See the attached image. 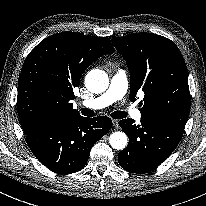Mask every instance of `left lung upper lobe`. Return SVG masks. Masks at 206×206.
<instances>
[{
	"instance_id": "left-lung-upper-lobe-1",
	"label": "left lung upper lobe",
	"mask_w": 206,
	"mask_h": 206,
	"mask_svg": "<svg viewBox=\"0 0 206 206\" xmlns=\"http://www.w3.org/2000/svg\"><path fill=\"white\" fill-rule=\"evenodd\" d=\"M127 61L130 99L145 94L141 119L184 129L190 112L188 72L178 47L169 39L147 32L113 38Z\"/></svg>"
}]
</instances>
